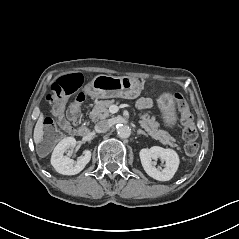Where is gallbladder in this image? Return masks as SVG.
Here are the masks:
<instances>
[{"label": "gallbladder", "mask_w": 239, "mask_h": 239, "mask_svg": "<svg viewBox=\"0 0 239 239\" xmlns=\"http://www.w3.org/2000/svg\"><path fill=\"white\" fill-rule=\"evenodd\" d=\"M47 147L45 145H38L37 146V153L40 156L41 150L46 149Z\"/></svg>", "instance_id": "bac80fb5"}]
</instances>
